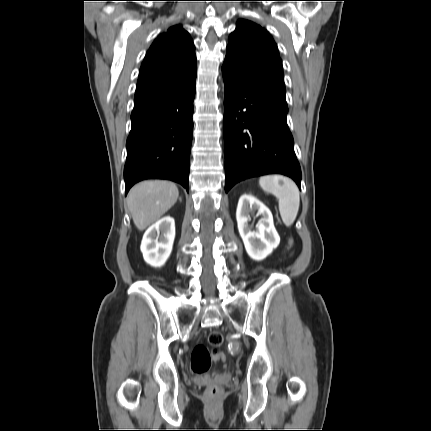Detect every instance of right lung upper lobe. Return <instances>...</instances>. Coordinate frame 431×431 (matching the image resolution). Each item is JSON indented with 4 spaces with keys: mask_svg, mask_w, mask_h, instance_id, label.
<instances>
[{
    "mask_svg": "<svg viewBox=\"0 0 431 431\" xmlns=\"http://www.w3.org/2000/svg\"><path fill=\"white\" fill-rule=\"evenodd\" d=\"M196 79V57L190 35L173 26L153 42L141 65L134 109L168 98Z\"/></svg>",
    "mask_w": 431,
    "mask_h": 431,
    "instance_id": "cb5924a9",
    "label": "right lung upper lobe"
}]
</instances>
